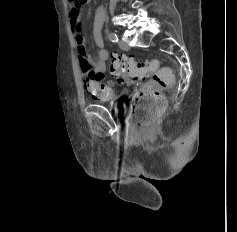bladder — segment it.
I'll return each instance as SVG.
<instances>
[{
    "label": "bladder",
    "instance_id": "31cf9c89",
    "mask_svg": "<svg viewBox=\"0 0 237 232\" xmlns=\"http://www.w3.org/2000/svg\"><path fill=\"white\" fill-rule=\"evenodd\" d=\"M111 106L116 110V111H123L124 110V105L121 101L119 100H113L111 103Z\"/></svg>",
    "mask_w": 237,
    "mask_h": 232
}]
</instances>
